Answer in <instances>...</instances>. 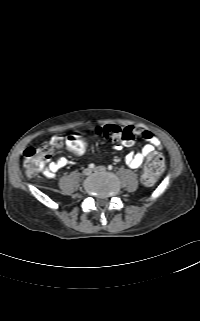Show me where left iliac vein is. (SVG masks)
<instances>
[{
    "mask_svg": "<svg viewBox=\"0 0 200 321\" xmlns=\"http://www.w3.org/2000/svg\"><path fill=\"white\" fill-rule=\"evenodd\" d=\"M95 172H104L106 168L104 166H98L94 169Z\"/></svg>",
    "mask_w": 200,
    "mask_h": 321,
    "instance_id": "obj_1",
    "label": "left iliac vein"
}]
</instances>
